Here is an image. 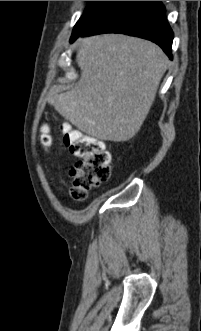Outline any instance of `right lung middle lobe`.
I'll return each mask as SVG.
<instances>
[{
  "mask_svg": "<svg viewBox=\"0 0 201 331\" xmlns=\"http://www.w3.org/2000/svg\"><path fill=\"white\" fill-rule=\"evenodd\" d=\"M115 1H90L85 13L77 21L71 39L96 21Z\"/></svg>",
  "mask_w": 201,
  "mask_h": 331,
  "instance_id": "right-lung-middle-lobe-1",
  "label": "right lung middle lobe"
}]
</instances>
